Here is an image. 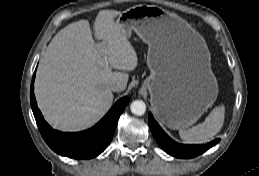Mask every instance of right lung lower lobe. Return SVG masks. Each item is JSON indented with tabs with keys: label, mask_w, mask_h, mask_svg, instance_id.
<instances>
[{
	"label": "right lung lower lobe",
	"mask_w": 259,
	"mask_h": 176,
	"mask_svg": "<svg viewBox=\"0 0 259 176\" xmlns=\"http://www.w3.org/2000/svg\"><path fill=\"white\" fill-rule=\"evenodd\" d=\"M34 79L35 73L30 90L31 107L40 133L48 146L56 153L73 159H90L103 152L113 137L118 118L129 98L123 97L116 102L94 127L78 133H64L52 129L44 120L34 96Z\"/></svg>",
	"instance_id": "obj_1"
}]
</instances>
